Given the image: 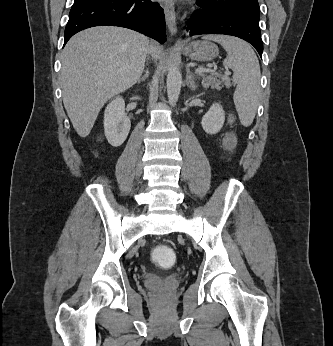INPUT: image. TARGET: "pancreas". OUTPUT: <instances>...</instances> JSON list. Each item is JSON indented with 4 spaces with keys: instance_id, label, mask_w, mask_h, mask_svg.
<instances>
[{
    "instance_id": "obj_1",
    "label": "pancreas",
    "mask_w": 333,
    "mask_h": 346,
    "mask_svg": "<svg viewBox=\"0 0 333 346\" xmlns=\"http://www.w3.org/2000/svg\"><path fill=\"white\" fill-rule=\"evenodd\" d=\"M202 78V85L204 88L211 86L219 90L221 85H225L227 88L231 87L230 79L227 75H221L217 73H212L211 75H205L204 73H198Z\"/></svg>"
}]
</instances>
